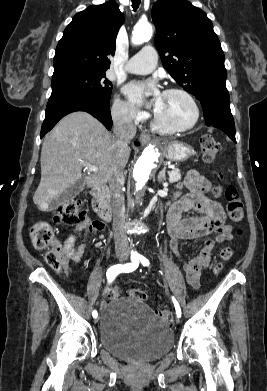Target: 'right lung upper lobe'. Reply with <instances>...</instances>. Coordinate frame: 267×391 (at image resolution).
Segmentation results:
<instances>
[{
	"label": "right lung upper lobe",
	"mask_w": 267,
	"mask_h": 391,
	"mask_svg": "<svg viewBox=\"0 0 267 391\" xmlns=\"http://www.w3.org/2000/svg\"><path fill=\"white\" fill-rule=\"evenodd\" d=\"M124 21L114 2L77 13L56 47L53 76L72 71H106L115 54L116 36Z\"/></svg>",
	"instance_id": "right-lung-upper-lobe-1"
}]
</instances>
